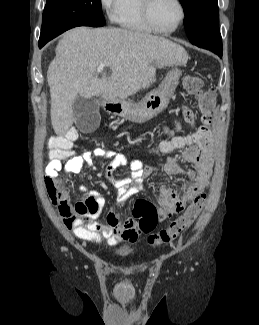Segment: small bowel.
Instances as JSON below:
<instances>
[{"mask_svg": "<svg viewBox=\"0 0 259 325\" xmlns=\"http://www.w3.org/2000/svg\"><path fill=\"white\" fill-rule=\"evenodd\" d=\"M181 116L186 123L194 124V114L187 106H182ZM180 129L181 123L175 118L170 124H165L162 127L164 135L171 139L182 138L178 135ZM161 143L156 150L159 153L170 154L176 150H182L178 158H169L163 164L165 172L170 175H184L186 177L184 180L185 191L182 194L170 186H163L160 189L158 215L159 220L163 221L174 213L180 212L187 202L207 189L212 173L213 157L209 147V130L205 131L202 127L194 134L187 135L186 144L181 145L180 149L162 150ZM94 156L109 159L104 174L118 189L116 198L118 206L124 205L131 197L144 190V180L151 175L154 169L151 164L144 165L138 159L129 161L123 154L102 147H97L80 155L69 153L66 156L68 160L64 166L61 159L57 160L49 153L50 161L45 170L46 185L55 181L61 171L65 175H73L80 173L84 165L94 169L92 162ZM178 161L191 163L193 168L185 171ZM125 165L130 167L128 175L116 179L113 175L114 171ZM51 200L54 205H57L59 215L64 220L65 225L81 240L94 244L105 241L109 246H114L122 241L135 242L138 238L140 231L134 217L123 219L110 209L107 212L105 224L96 221L101 210L106 206V199L96 190L88 191L85 201L77 202L74 205L70 203L64 192L60 198H51Z\"/></svg>", "mask_w": 259, "mask_h": 325, "instance_id": "obj_1", "label": "small bowel"}]
</instances>
